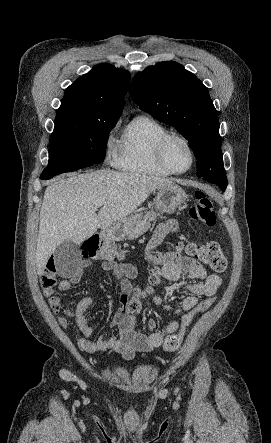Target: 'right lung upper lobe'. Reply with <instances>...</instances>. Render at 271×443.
Returning <instances> with one entry per match:
<instances>
[{
    "label": "right lung upper lobe",
    "instance_id": "right-lung-upper-lobe-1",
    "mask_svg": "<svg viewBox=\"0 0 271 443\" xmlns=\"http://www.w3.org/2000/svg\"><path fill=\"white\" fill-rule=\"evenodd\" d=\"M129 82V72L98 64L65 90L60 108L89 118L120 116Z\"/></svg>",
    "mask_w": 271,
    "mask_h": 443
}]
</instances>
